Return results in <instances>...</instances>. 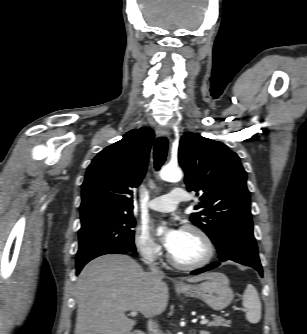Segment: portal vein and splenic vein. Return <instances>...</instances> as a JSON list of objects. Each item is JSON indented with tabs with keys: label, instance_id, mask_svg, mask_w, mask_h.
I'll use <instances>...</instances> for the list:
<instances>
[{
	"label": "portal vein and splenic vein",
	"instance_id": "portal-vein-and-splenic-vein-1",
	"mask_svg": "<svg viewBox=\"0 0 307 334\" xmlns=\"http://www.w3.org/2000/svg\"><path fill=\"white\" fill-rule=\"evenodd\" d=\"M123 310H125V309H123ZM130 315L133 316V317H134V316H137V312H136V311H130ZM207 323H209V320H208V319H203V320L200 321V324H201V325H203V324H207Z\"/></svg>",
	"mask_w": 307,
	"mask_h": 334
}]
</instances>
